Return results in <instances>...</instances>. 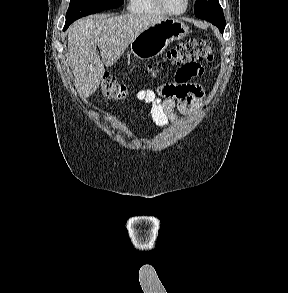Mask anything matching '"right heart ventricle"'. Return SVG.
Returning <instances> with one entry per match:
<instances>
[{"label": "right heart ventricle", "mask_w": 288, "mask_h": 293, "mask_svg": "<svg viewBox=\"0 0 288 293\" xmlns=\"http://www.w3.org/2000/svg\"><path fill=\"white\" fill-rule=\"evenodd\" d=\"M128 10L137 14H165L155 0H129Z\"/></svg>", "instance_id": "obj_1"}]
</instances>
